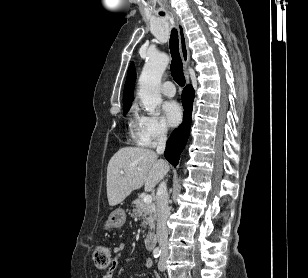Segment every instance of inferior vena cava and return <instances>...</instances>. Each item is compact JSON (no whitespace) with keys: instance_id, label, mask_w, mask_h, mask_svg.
Segmentation results:
<instances>
[{"instance_id":"inferior-vena-cava-1","label":"inferior vena cava","mask_w":308,"mask_h":278,"mask_svg":"<svg viewBox=\"0 0 308 278\" xmlns=\"http://www.w3.org/2000/svg\"><path fill=\"white\" fill-rule=\"evenodd\" d=\"M167 141V130L160 129L157 135V154H163L165 151ZM169 195L167 192V185L165 181L159 184L156 192V205H157V238L162 254L168 253V232H167V219L170 214L168 206Z\"/></svg>"}]
</instances>
